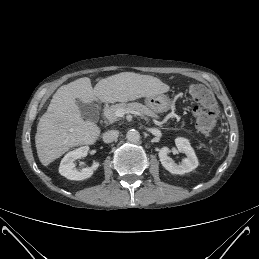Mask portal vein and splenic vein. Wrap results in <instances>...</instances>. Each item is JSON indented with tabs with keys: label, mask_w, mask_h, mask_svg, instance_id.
I'll use <instances>...</instances> for the list:
<instances>
[{
	"label": "portal vein and splenic vein",
	"mask_w": 259,
	"mask_h": 259,
	"mask_svg": "<svg viewBox=\"0 0 259 259\" xmlns=\"http://www.w3.org/2000/svg\"><path fill=\"white\" fill-rule=\"evenodd\" d=\"M125 113H127V112H125V111H123V110H118V111L116 112V115H117L118 117H123V116L125 115Z\"/></svg>",
	"instance_id": "portal-vein-and-splenic-vein-1"
}]
</instances>
